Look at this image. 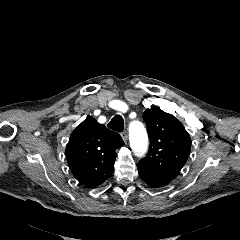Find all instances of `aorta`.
I'll return each instance as SVG.
<instances>
[{"mask_svg": "<svg viewBox=\"0 0 240 240\" xmlns=\"http://www.w3.org/2000/svg\"><path fill=\"white\" fill-rule=\"evenodd\" d=\"M130 146L136 156H143L148 149V136L144 125L134 121L129 126Z\"/></svg>", "mask_w": 240, "mask_h": 240, "instance_id": "762f6f07", "label": "aorta"}]
</instances>
